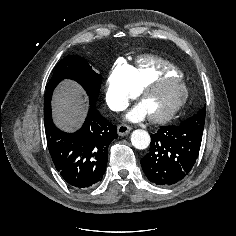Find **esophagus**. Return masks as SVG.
I'll return each mask as SVG.
<instances>
[{
    "mask_svg": "<svg viewBox=\"0 0 236 236\" xmlns=\"http://www.w3.org/2000/svg\"><path fill=\"white\" fill-rule=\"evenodd\" d=\"M131 127L126 124H121L117 128V133L119 136H125L131 131Z\"/></svg>",
    "mask_w": 236,
    "mask_h": 236,
    "instance_id": "34e87169",
    "label": "esophagus"
}]
</instances>
